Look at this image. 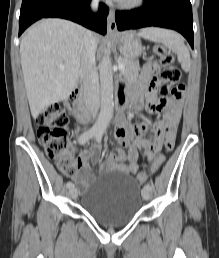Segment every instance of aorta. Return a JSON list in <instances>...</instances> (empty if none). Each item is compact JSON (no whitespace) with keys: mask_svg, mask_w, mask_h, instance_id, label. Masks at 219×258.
I'll return each mask as SVG.
<instances>
[{"mask_svg":"<svg viewBox=\"0 0 219 258\" xmlns=\"http://www.w3.org/2000/svg\"><path fill=\"white\" fill-rule=\"evenodd\" d=\"M100 86H101V108L95 127L105 131L112 119L113 102V70L109 56H104L99 64Z\"/></svg>","mask_w":219,"mask_h":258,"instance_id":"762f6f07","label":"aorta"}]
</instances>
